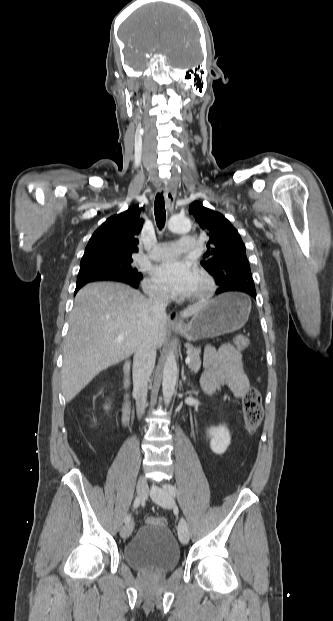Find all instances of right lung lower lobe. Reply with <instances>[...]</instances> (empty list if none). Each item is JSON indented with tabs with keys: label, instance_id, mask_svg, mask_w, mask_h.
I'll use <instances>...</instances> for the list:
<instances>
[{
	"label": "right lung lower lobe",
	"instance_id": "right-lung-lower-lobe-1",
	"mask_svg": "<svg viewBox=\"0 0 333 621\" xmlns=\"http://www.w3.org/2000/svg\"><path fill=\"white\" fill-rule=\"evenodd\" d=\"M103 280H109V281H117V282H122L125 284H128L134 288H138V284L140 282V280H130V279H125V278H121V277H111V276H103V275H87V276H79L77 278V283H76V289H75V293L85 284L89 283V282H93V281H103Z\"/></svg>",
	"mask_w": 333,
	"mask_h": 621
}]
</instances>
